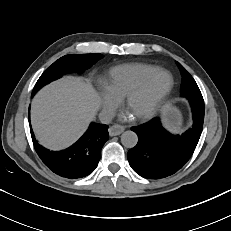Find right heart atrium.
Wrapping results in <instances>:
<instances>
[{
	"label": "right heart atrium",
	"mask_w": 231,
	"mask_h": 231,
	"mask_svg": "<svg viewBox=\"0 0 231 231\" xmlns=\"http://www.w3.org/2000/svg\"><path fill=\"white\" fill-rule=\"evenodd\" d=\"M103 114L105 117L113 115L115 110L120 104V99L112 95L107 89L102 91L101 94Z\"/></svg>",
	"instance_id": "1"
}]
</instances>
